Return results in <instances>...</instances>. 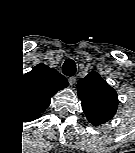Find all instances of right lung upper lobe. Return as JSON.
I'll list each match as a JSON object with an SVG mask.
<instances>
[{
	"label": "right lung upper lobe",
	"mask_w": 135,
	"mask_h": 153,
	"mask_svg": "<svg viewBox=\"0 0 135 153\" xmlns=\"http://www.w3.org/2000/svg\"><path fill=\"white\" fill-rule=\"evenodd\" d=\"M68 86L64 76L44 65L36 66L23 76L18 84V93L24 117L33 119L50 103V98Z\"/></svg>",
	"instance_id": "obj_1"
}]
</instances>
